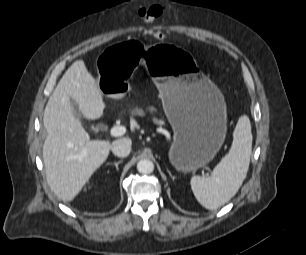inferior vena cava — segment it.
Instances as JSON below:
<instances>
[{
    "mask_svg": "<svg viewBox=\"0 0 306 255\" xmlns=\"http://www.w3.org/2000/svg\"><path fill=\"white\" fill-rule=\"evenodd\" d=\"M112 152L118 157H127L131 152V140L124 138L115 141Z\"/></svg>",
    "mask_w": 306,
    "mask_h": 255,
    "instance_id": "obj_1",
    "label": "inferior vena cava"
}]
</instances>
